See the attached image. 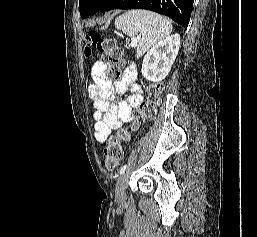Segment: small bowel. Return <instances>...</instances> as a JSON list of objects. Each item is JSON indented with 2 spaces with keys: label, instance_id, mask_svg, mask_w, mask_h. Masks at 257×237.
Listing matches in <instances>:
<instances>
[{
  "label": "small bowel",
  "instance_id": "c3829d8e",
  "mask_svg": "<svg viewBox=\"0 0 257 237\" xmlns=\"http://www.w3.org/2000/svg\"><path fill=\"white\" fill-rule=\"evenodd\" d=\"M107 65L96 61L91 70L93 84L88 88L90 99L93 101L95 112V139L99 143L107 141L113 130L133 119V110L144 99L143 92L136 84V72L128 68L123 77L113 83L106 76ZM130 90L131 94L125 100L117 101V97Z\"/></svg>",
  "mask_w": 257,
  "mask_h": 237
}]
</instances>
